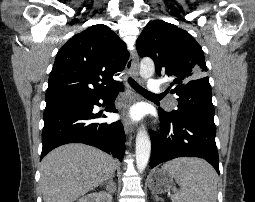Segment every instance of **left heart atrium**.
<instances>
[{
  "instance_id": "left-heart-atrium-1",
  "label": "left heart atrium",
  "mask_w": 255,
  "mask_h": 202,
  "mask_svg": "<svg viewBox=\"0 0 255 202\" xmlns=\"http://www.w3.org/2000/svg\"><path fill=\"white\" fill-rule=\"evenodd\" d=\"M143 114V109L141 107H135L131 110V116L134 119H139Z\"/></svg>"
}]
</instances>
